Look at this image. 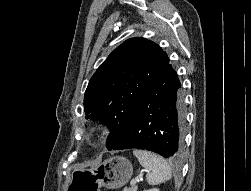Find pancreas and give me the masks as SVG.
I'll list each match as a JSON object with an SVG mask.
<instances>
[{
	"label": "pancreas",
	"instance_id": "1",
	"mask_svg": "<svg viewBox=\"0 0 251 191\" xmlns=\"http://www.w3.org/2000/svg\"><path fill=\"white\" fill-rule=\"evenodd\" d=\"M123 191H136V187H124Z\"/></svg>",
	"mask_w": 251,
	"mask_h": 191
}]
</instances>
